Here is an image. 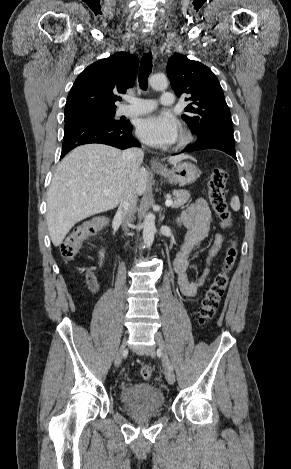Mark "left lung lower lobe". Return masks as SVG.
<instances>
[{
	"label": "left lung lower lobe",
	"instance_id": "obj_1",
	"mask_svg": "<svg viewBox=\"0 0 291 469\" xmlns=\"http://www.w3.org/2000/svg\"><path fill=\"white\" fill-rule=\"evenodd\" d=\"M219 149L236 158L234 136L226 133H212L202 138H198L197 142L190 147H186L182 152H190L202 149Z\"/></svg>",
	"mask_w": 291,
	"mask_h": 469
}]
</instances>
